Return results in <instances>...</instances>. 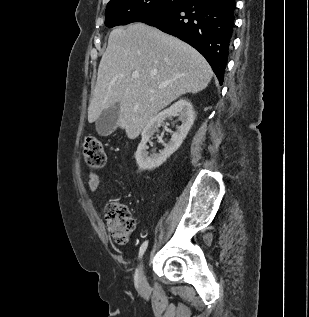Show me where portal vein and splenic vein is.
Returning <instances> with one entry per match:
<instances>
[{
    "label": "portal vein and splenic vein",
    "mask_w": 309,
    "mask_h": 317,
    "mask_svg": "<svg viewBox=\"0 0 309 317\" xmlns=\"http://www.w3.org/2000/svg\"><path fill=\"white\" fill-rule=\"evenodd\" d=\"M132 77H133L134 79L139 78V73H138V72H133V73H132Z\"/></svg>",
    "instance_id": "portal-vein-and-splenic-vein-1"
}]
</instances>
